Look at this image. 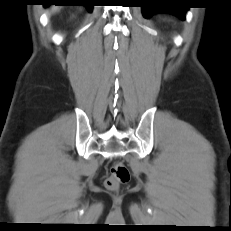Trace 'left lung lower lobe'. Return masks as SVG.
I'll return each instance as SVG.
<instances>
[{
  "label": "left lung lower lobe",
  "mask_w": 231,
  "mask_h": 231,
  "mask_svg": "<svg viewBox=\"0 0 231 231\" xmlns=\"http://www.w3.org/2000/svg\"><path fill=\"white\" fill-rule=\"evenodd\" d=\"M181 3V0H140L145 18L155 13H170L180 19H185L187 7Z\"/></svg>",
  "instance_id": "left-lung-lower-lobe-1"
}]
</instances>
